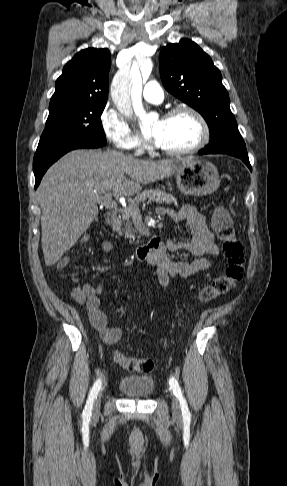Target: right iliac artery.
Returning a JSON list of instances; mask_svg holds the SVG:
<instances>
[{
  "mask_svg": "<svg viewBox=\"0 0 287 486\" xmlns=\"http://www.w3.org/2000/svg\"><path fill=\"white\" fill-rule=\"evenodd\" d=\"M101 384H102V381L100 379H98L92 389L90 390V393L88 395V399L86 401V405H85V408L83 410V415L85 417H90L91 416V412H92V409H93V402L94 400L96 399V395L98 394L100 388H101Z\"/></svg>",
  "mask_w": 287,
  "mask_h": 486,
  "instance_id": "1",
  "label": "right iliac artery"
}]
</instances>
